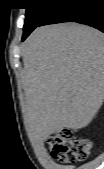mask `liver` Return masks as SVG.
<instances>
[{"instance_id":"6515ba94","label":"liver","mask_w":104,"mask_h":169,"mask_svg":"<svg viewBox=\"0 0 104 169\" xmlns=\"http://www.w3.org/2000/svg\"><path fill=\"white\" fill-rule=\"evenodd\" d=\"M31 135L86 127L104 98V35L77 23L39 27L22 45Z\"/></svg>"}]
</instances>
